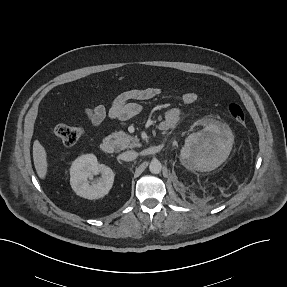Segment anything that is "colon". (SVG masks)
Wrapping results in <instances>:
<instances>
[{
    "label": "colon",
    "mask_w": 287,
    "mask_h": 287,
    "mask_svg": "<svg viewBox=\"0 0 287 287\" xmlns=\"http://www.w3.org/2000/svg\"><path fill=\"white\" fill-rule=\"evenodd\" d=\"M229 116L237 123H245V113L238 103H231L228 106ZM52 136L65 145L75 144L84 134V130L78 125H55L51 130Z\"/></svg>",
    "instance_id": "5ec220e1"
}]
</instances>
